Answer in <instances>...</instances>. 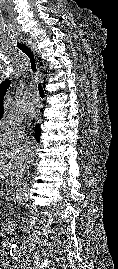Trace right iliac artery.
Here are the masks:
<instances>
[{"label":"right iliac artery","instance_id":"obj_1","mask_svg":"<svg viewBox=\"0 0 118 269\" xmlns=\"http://www.w3.org/2000/svg\"><path fill=\"white\" fill-rule=\"evenodd\" d=\"M13 259H16L15 255L13 256Z\"/></svg>","mask_w":118,"mask_h":269}]
</instances>
